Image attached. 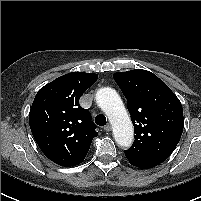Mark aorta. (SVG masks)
<instances>
[{"instance_id": "762f6f07", "label": "aorta", "mask_w": 201, "mask_h": 201, "mask_svg": "<svg viewBox=\"0 0 201 201\" xmlns=\"http://www.w3.org/2000/svg\"><path fill=\"white\" fill-rule=\"evenodd\" d=\"M96 102L108 116L115 141L121 147H130L133 142V125L118 93L104 87L96 92Z\"/></svg>"}]
</instances>
